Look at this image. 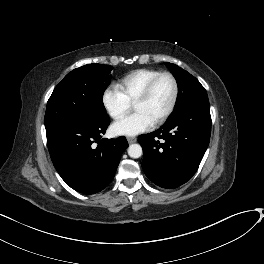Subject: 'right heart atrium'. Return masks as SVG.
Here are the masks:
<instances>
[{
  "mask_svg": "<svg viewBox=\"0 0 264 264\" xmlns=\"http://www.w3.org/2000/svg\"><path fill=\"white\" fill-rule=\"evenodd\" d=\"M102 102L109 115L119 120L124 117L131 108V102L117 86L107 88L102 96Z\"/></svg>",
  "mask_w": 264,
  "mask_h": 264,
  "instance_id": "right-heart-atrium-1",
  "label": "right heart atrium"
}]
</instances>
